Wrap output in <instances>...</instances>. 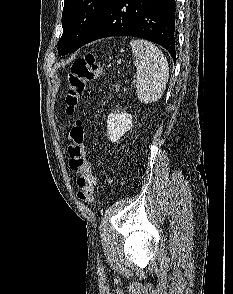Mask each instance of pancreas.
I'll use <instances>...</instances> for the list:
<instances>
[{"instance_id": "pancreas-1", "label": "pancreas", "mask_w": 233, "mask_h": 294, "mask_svg": "<svg viewBox=\"0 0 233 294\" xmlns=\"http://www.w3.org/2000/svg\"><path fill=\"white\" fill-rule=\"evenodd\" d=\"M120 86L119 85H116V90H119Z\"/></svg>"}]
</instances>
